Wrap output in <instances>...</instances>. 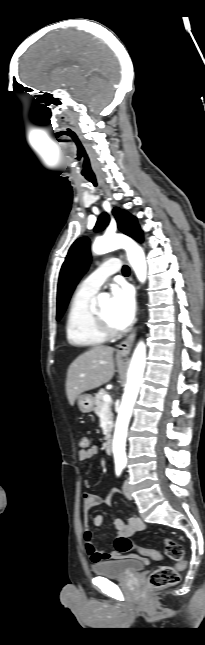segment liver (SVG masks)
<instances>
[{"mask_svg": "<svg viewBox=\"0 0 205 645\" xmlns=\"http://www.w3.org/2000/svg\"><path fill=\"white\" fill-rule=\"evenodd\" d=\"M113 352L112 347L95 346L70 364L66 379V394L70 405H74L81 393L98 388L112 379Z\"/></svg>", "mask_w": 205, "mask_h": 645, "instance_id": "liver-1", "label": "liver"}]
</instances>
